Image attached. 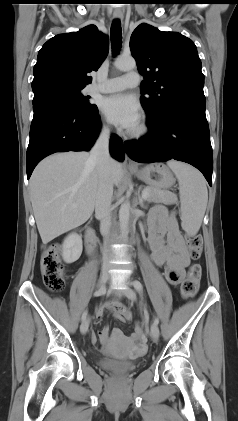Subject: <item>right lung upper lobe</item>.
<instances>
[{"instance_id": "right-lung-upper-lobe-1", "label": "right lung upper lobe", "mask_w": 238, "mask_h": 421, "mask_svg": "<svg viewBox=\"0 0 238 421\" xmlns=\"http://www.w3.org/2000/svg\"><path fill=\"white\" fill-rule=\"evenodd\" d=\"M109 39L95 25H89L48 40L38 53L32 86L59 82L85 87L89 73L97 70L107 56Z\"/></svg>"}]
</instances>
